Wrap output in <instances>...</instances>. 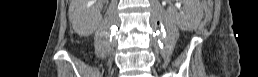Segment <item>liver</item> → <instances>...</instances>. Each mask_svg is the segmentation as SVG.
I'll list each match as a JSON object with an SVG mask.
<instances>
[{
    "mask_svg": "<svg viewBox=\"0 0 258 77\" xmlns=\"http://www.w3.org/2000/svg\"><path fill=\"white\" fill-rule=\"evenodd\" d=\"M86 3L87 0H70L69 17L72 23L78 21L87 23V21H91V17H88L89 15L84 9Z\"/></svg>",
    "mask_w": 258,
    "mask_h": 77,
    "instance_id": "liver-1",
    "label": "liver"
}]
</instances>
